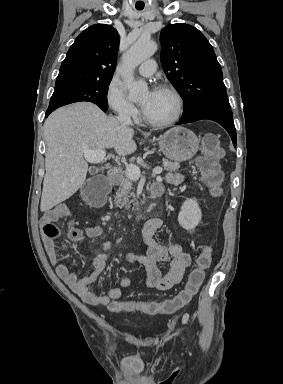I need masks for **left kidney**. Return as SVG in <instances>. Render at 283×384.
Masks as SVG:
<instances>
[{
    "instance_id": "5707ae66",
    "label": "left kidney",
    "mask_w": 283,
    "mask_h": 384,
    "mask_svg": "<svg viewBox=\"0 0 283 384\" xmlns=\"http://www.w3.org/2000/svg\"><path fill=\"white\" fill-rule=\"evenodd\" d=\"M201 210L196 200H186L178 214V222L184 230H195L201 220Z\"/></svg>"
}]
</instances>
